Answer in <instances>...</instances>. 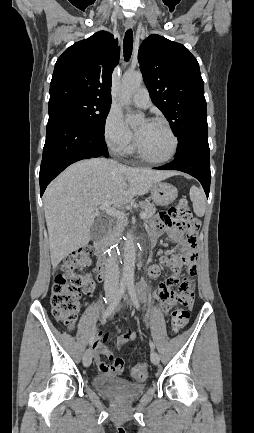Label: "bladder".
I'll return each instance as SVG.
<instances>
[{
  "mask_svg": "<svg viewBox=\"0 0 254 433\" xmlns=\"http://www.w3.org/2000/svg\"><path fill=\"white\" fill-rule=\"evenodd\" d=\"M94 387L103 394L120 399H132L139 396L145 388L144 384L129 382L122 378H111L97 375L93 379Z\"/></svg>",
  "mask_w": 254,
  "mask_h": 433,
  "instance_id": "bladder-1",
  "label": "bladder"
}]
</instances>
